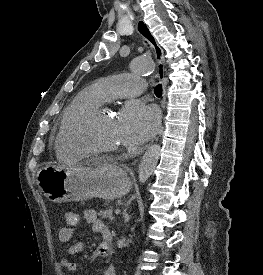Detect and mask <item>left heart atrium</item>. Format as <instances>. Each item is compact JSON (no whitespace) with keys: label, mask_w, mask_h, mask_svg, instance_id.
<instances>
[{"label":"left heart atrium","mask_w":263,"mask_h":275,"mask_svg":"<svg viewBox=\"0 0 263 275\" xmlns=\"http://www.w3.org/2000/svg\"><path fill=\"white\" fill-rule=\"evenodd\" d=\"M159 124L155 107L142 101L129 102L118 116V126L126 144L137 146L151 138Z\"/></svg>","instance_id":"obj_1"}]
</instances>
